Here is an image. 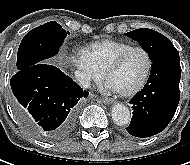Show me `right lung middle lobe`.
Wrapping results in <instances>:
<instances>
[{
    "instance_id": "obj_1",
    "label": "right lung middle lobe",
    "mask_w": 190,
    "mask_h": 165,
    "mask_svg": "<svg viewBox=\"0 0 190 165\" xmlns=\"http://www.w3.org/2000/svg\"><path fill=\"white\" fill-rule=\"evenodd\" d=\"M66 35L67 32L55 21L45 23L28 32L18 49L17 70L21 71L45 63L46 59L57 54Z\"/></svg>"
}]
</instances>
